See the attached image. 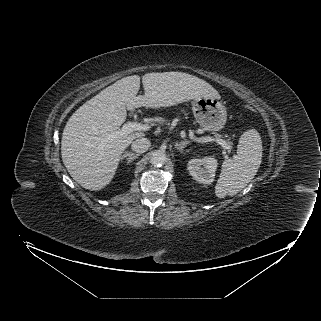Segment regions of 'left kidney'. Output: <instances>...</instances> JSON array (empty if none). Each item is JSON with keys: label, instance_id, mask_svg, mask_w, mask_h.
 I'll use <instances>...</instances> for the list:
<instances>
[{"label": "left kidney", "instance_id": "left-kidney-1", "mask_svg": "<svg viewBox=\"0 0 321 321\" xmlns=\"http://www.w3.org/2000/svg\"><path fill=\"white\" fill-rule=\"evenodd\" d=\"M217 165L215 158L204 157L190 160L187 168L194 180L209 185L214 181Z\"/></svg>", "mask_w": 321, "mask_h": 321}]
</instances>
